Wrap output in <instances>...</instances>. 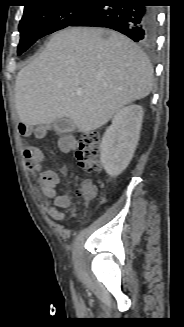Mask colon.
Returning a JSON list of instances; mask_svg holds the SVG:
<instances>
[{
    "label": "colon",
    "instance_id": "obj_1",
    "mask_svg": "<svg viewBox=\"0 0 184 327\" xmlns=\"http://www.w3.org/2000/svg\"><path fill=\"white\" fill-rule=\"evenodd\" d=\"M100 137L97 132L84 134L77 142L76 159L81 169L95 172L100 169ZM77 194L84 199H92L96 195V188L88 181L80 184Z\"/></svg>",
    "mask_w": 184,
    "mask_h": 327
}]
</instances>
